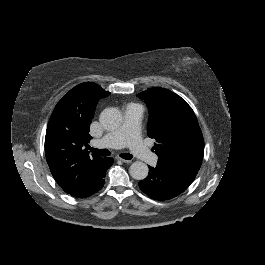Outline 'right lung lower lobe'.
Instances as JSON below:
<instances>
[{
    "instance_id": "right-lung-lower-lobe-1",
    "label": "right lung lower lobe",
    "mask_w": 265,
    "mask_h": 265,
    "mask_svg": "<svg viewBox=\"0 0 265 265\" xmlns=\"http://www.w3.org/2000/svg\"><path fill=\"white\" fill-rule=\"evenodd\" d=\"M113 164V158H106V170ZM106 173V172H105ZM105 173L104 175L97 181L96 185L94 187H92L91 189L85 190V191H81V192H77V193H73L71 194L74 197L77 198H85L88 197L94 193H96L97 191H99L102 186L104 185V177H105Z\"/></svg>"
}]
</instances>
